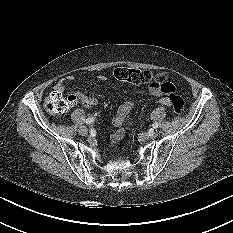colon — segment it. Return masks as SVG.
<instances>
[{"mask_svg": "<svg viewBox=\"0 0 233 233\" xmlns=\"http://www.w3.org/2000/svg\"><path fill=\"white\" fill-rule=\"evenodd\" d=\"M114 76L121 82L130 83L136 86H156L168 94L167 98L176 113L182 114L185 110L184 100L175 94L174 85L167 82L164 74H154L147 70L120 67L114 71ZM74 102L73 97H64L62 93L53 91L45 99L44 108L51 115H61L64 114L74 104Z\"/></svg>", "mask_w": 233, "mask_h": 233, "instance_id": "colon-1", "label": "colon"}]
</instances>
